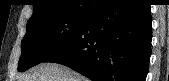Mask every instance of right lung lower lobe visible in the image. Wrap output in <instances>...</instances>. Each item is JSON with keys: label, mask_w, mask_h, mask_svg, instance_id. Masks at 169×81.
<instances>
[{"label": "right lung lower lobe", "mask_w": 169, "mask_h": 81, "mask_svg": "<svg viewBox=\"0 0 169 81\" xmlns=\"http://www.w3.org/2000/svg\"><path fill=\"white\" fill-rule=\"evenodd\" d=\"M151 11L143 0H111L78 34L43 62L92 81H145L151 55Z\"/></svg>", "instance_id": "right-lung-lower-lobe-1"}]
</instances>
